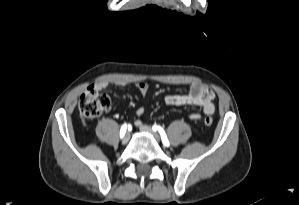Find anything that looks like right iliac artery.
Instances as JSON below:
<instances>
[{"label":"right iliac artery","instance_id":"right-iliac-artery-1","mask_svg":"<svg viewBox=\"0 0 299 205\" xmlns=\"http://www.w3.org/2000/svg\"><path fill=\"white\" fill-rule=\"evenodd\" d=\"M130 125H128V129H130ZM127 130V124L122 125L121 129H120V138H123V136L125 135Z\"/></svg>","mask_w":299,"mask_h":205}]
</instances>
